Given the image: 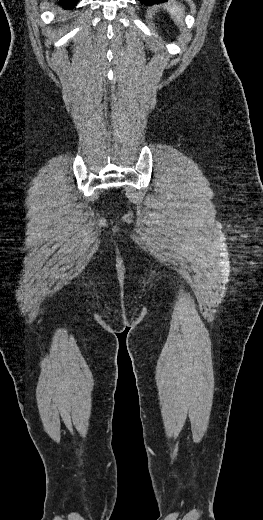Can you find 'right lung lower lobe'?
I'll return each instance as SVG.
<instances>
[{"mask_svg":"<svg viewBox=\"0 0 263 520\" xmlns=\"http://www.w3.org/2000/svg\"><path fill=\"white\" fill-rule=\"evenodd\" d=\"M61 2V5L64 7V8H73L76 3L78 2V0H60Z\"/></svg>","mask_w":263,"mask_h":520,"instance_id":"obj_1","label":"right lung lower lobe"}]
</instances>
